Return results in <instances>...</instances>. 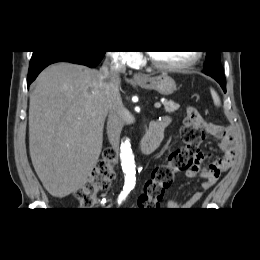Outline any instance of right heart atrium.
Returning a JSON list of instances; mask_svg holds the SVG:
<instances>
[{"mask_svg":"<svg viewBox=\"0 0 260 260\" xmlns=\"http://www.w3.org/2000/svg\"><path fill=\"white\" fill-rule=\"evenodd\" d=\"M115 58L122 64L132 66L141 61V54L135 51H123L116 53Z\"/></svg>","mask_w":260,"mask_h":260,"instance_id":"obj_1","label":"right heart atrium"}]
</instances>
